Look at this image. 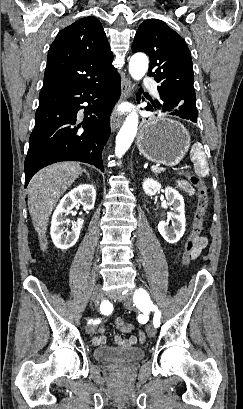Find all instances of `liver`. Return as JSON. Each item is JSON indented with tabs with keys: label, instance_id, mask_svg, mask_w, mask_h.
I'll use <instances>...</instances> for the list:
<instances>
[{
	"label": "liver",
	"instance_id": "6515ba94",
	"mask_svg": "<svg viewBox=\"0 0 243 409\" xmlns=\"http://www.w3.org/2000/svg\"><path fill=\"white\" fill-rule=\"evenodd\" d=\"M81 174L79 163L60 162L43 168L32 177L28 185V209L42 251L47 250L46 231L53 208Z\"/></svg>",
	"mask_w": 243,
	"mask_h": 409
}]
</instances>
